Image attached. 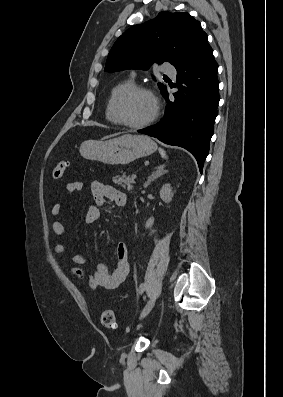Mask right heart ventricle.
<instances>
[{"instance_id":"obj_1","label":"right heart ventricle","mask_w":283,"mask_h":397,"mask_svg":"<svg viewBox=\"0 0 283 397\" xmlns=\"http://www.w3.org/2000/svg\"><path fill=\"white\" fill-rule=\"evenodd\" d=\"M133 85H134V83L131 79H125V80H122V81L116 83L110 89L107 100H106V106H105V116L109 122L118 124V120L116 118L115 111H114L115 101H116L117 97L122 92H124L128 88L132 87Z\"/></svg>"}]
</instances>
